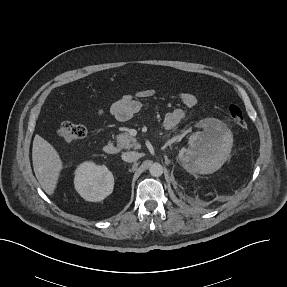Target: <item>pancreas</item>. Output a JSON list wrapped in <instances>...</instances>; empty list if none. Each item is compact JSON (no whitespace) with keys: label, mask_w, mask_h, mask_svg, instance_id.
<instances>
[{"label":"pancreas","mask_w":287,"mask_h":287,"mask_svg":"<svg viewBox=\"0 0 287 287\" xmlns=\"http://www.w3.org/2000/svg\"><path fill=\"white\" fill-rule=\"evenodd\" d=\"M117 147L119 149H138L140 144L137 142V139L132 137L129 133L123 132L116 136Z\"/></svg>","instance_id":"1"}]
</instances>
